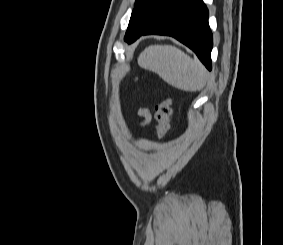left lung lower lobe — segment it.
Masks as SVG:
<instances>
[{
	"instance_id": "obj_1",
	"label": "left lung lower lobe",
	"mask_w": 283,
	"mask_h": 245,
	"mask_svg": "<svg viewBox=\"0 0 283 245\" xmlns=\"http://www.w3.org/2000/svg\"><path fill=\"white\" fill-rule=\"evenodd\" d=\"M208 15V9L202 0H174L134 41L147 34L172 36L192 49L206 68L211 70L213 39Z\"/></svg>"
}]
</instances>
